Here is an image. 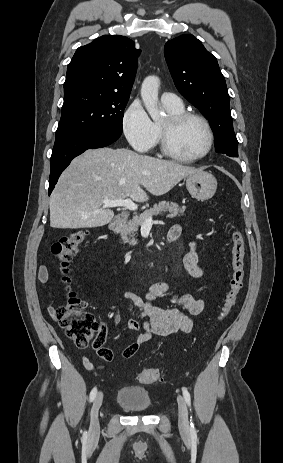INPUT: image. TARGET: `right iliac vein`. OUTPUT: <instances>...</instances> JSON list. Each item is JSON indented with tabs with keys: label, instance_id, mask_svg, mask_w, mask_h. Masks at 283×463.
Masks as SVG:
<instances>
[{
	"label": "right iliac vein",
	"instance_id": "63e3f726",
	"mask_svg": "<svg viewBox=\"0 0 283 463\" xmlns=\"http://www.w3.org/2000/svg\"><path fill=\"white\" fill-rule=\"evenodd\" d=\"M103 401V393L99 392L98 395L96 396L92 409H91V418H90V426H89V437L94 439L99 436L100 432V426H99V420H98V411L102 405Z\"/></svg>",
	"mask_w": 283,
	"mask_h": 463
}]
</instances>
